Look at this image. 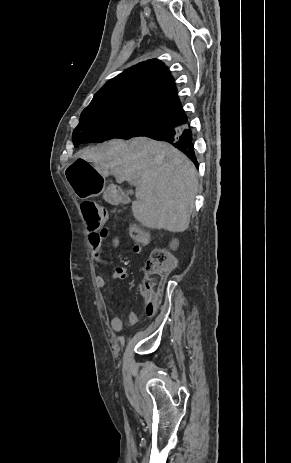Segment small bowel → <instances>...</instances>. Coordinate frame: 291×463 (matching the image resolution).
Segmentation results:
<instances>
[{
    "mask_svg": "<svg viewBox=\"0 0 291 463\" xmlns=\"http://www.w3.org/2000/svg\"><path fill=\"white\" fill-rule=\"evenodd\" d=\"M107 235H108V230L106 228H103L102 230L97 231V232L90 231L87 235L88 245L93 250L94 256L97 262L101 261V247ZM119 243L120 241L118 237H114L112 239V244L114 247H118ZM142 248H143L142 243H135L133 246V251L138 254L142 252ZM110 276L111 278L116 279V280H123L127 277V269L125 266H122V265L116 266L114 270L111 272ZM96 284L98 287H104L106 284L105 278L97 277ZM147 316L151 317V315L149 314H147ZM129 320L131 324H136L139 320L138 315L135 313L133 309L129 311ZM111 327L115 332L121 331L122 319L119 316V314L116 313L113 316L111 320Z\"/></svg>",
    "mask_w": 291,
    "mask_h": 463,
    "instance_id": "c3829d8e",
    "label": "small bowel"
}]
</instances>
